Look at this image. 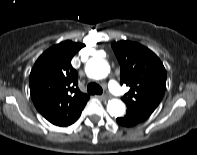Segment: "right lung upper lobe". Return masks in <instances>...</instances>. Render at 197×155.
I'll return each mask as SVG.
<instances>
[{
    "label": "right lung upper lobe",
    "mask_w": 197,
    "mask_h": 155,
    "mask_svg": "<svg viewBox=\"0 0 197 155\" xmlns=\"http://www.w3.org/2000/svg\"><path fill=\"white\" fill-rule=\"evenodd\" d=\"M81 43L64 41L46 50L35 62L29 76L30 93L36 109L57 126L71 125L81 114L89 95L78 89L73 56Z\"/></svg>",
    "instance_id": "1"
}]
</instances>
